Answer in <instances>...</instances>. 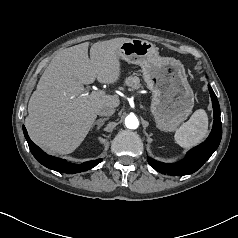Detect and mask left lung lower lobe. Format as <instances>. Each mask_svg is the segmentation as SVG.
Segmentation results:
<instances>
[{"label": "left lung lower lobe", "mask_w": 238, "mask_h": 238, "mask_svg": "<svg viewBox=\"0 0 238 238\" xmlns=\"http://www.w3.org/2000/svg\"><path fill=\"white\" fill-rule=\"evenodd\" d=\"M214 110V123L209 137L200 145L187 152L183 160L177 163H161L148 157V163L158 172L174 176H183L196 172L218 148L222 137L220 107L217 97L208 85Z\"/></svg>", "instance_id": "0a47b994"}]
</instances>
